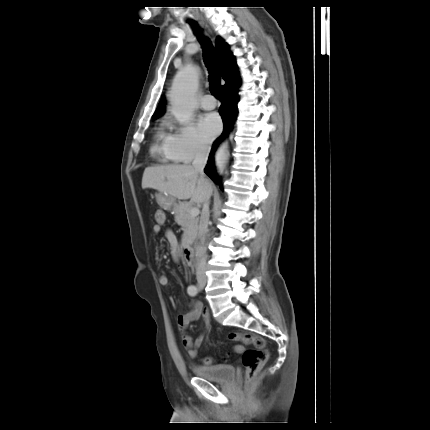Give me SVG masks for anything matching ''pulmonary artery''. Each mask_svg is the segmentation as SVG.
I'll list each match as a JSON object with an SVG mask.
<instances>
[{
  "label": "pulmonary artery",
  "mask_w": 430,
  "mask_h": 430,
  "mask_svg": "<svg viewBox=\"0 0 430 430\" xmlns=\"http://www.w3.org/2000/svg\"><path fill=\"white\" fill-rule=\"evenodd\" d=\"M201 107L205 110H212L216 107V100L211 95H205L202 99Z\"/></svg>",
  "instance_id": "e3ab8cb5"
}]
</instances>
